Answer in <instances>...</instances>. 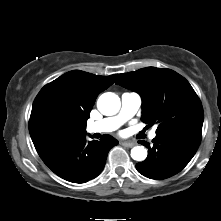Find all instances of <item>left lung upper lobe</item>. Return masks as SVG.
<instances>
[{"mask_svg": "<svg viewBox=\"0 0 221 221\" xmlns=\"http://www.w3.org/2000/svg\"><path fill=\"white\" fill-rule=\"evenodd\" d=\"M116 84L142 98L141 120L157 124L156 135L176 129L201 130L204 113L189 82L171 69L147 67L118 76Z\"/></svg>", "mask_w": 221, "mask_h": 221, "instance_id": "left-lung-upper-lobe-1", "label": "left lung upper lobe"}]
</instances>
